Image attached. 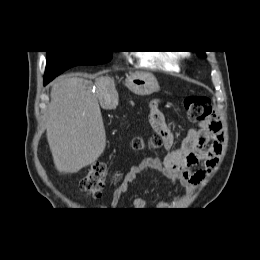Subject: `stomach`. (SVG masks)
I'll use <instances>...</instances> for the list:
<instances>
[{"instance_id": "obj_1", "label": "stomach", "mask_w": 260, "mask_h": 260, "mask_svg": "<svg viewBox=\"0 0 260 260\" xmlns=\"http://www.w3.org/2000/svg\"><path fill=\"white\" fill-rule=\"evenodd\" d=\"M126 87L136 95L148 96L159 90V84L150 73H133L125 81Z\"/></svg>"}]
</instances>
